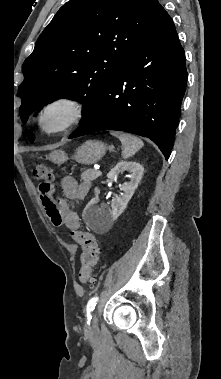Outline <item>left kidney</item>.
I'll list each match as a JSON object with an SVG mask.
<instances>
[{"mask_svg":"<svg viewBox=\"0 0 221 379\" xmlns=\"http://www.w3.org/2000/svg\"><path fill=\"white\" fill-rule=\"evenodd\" d=\"M124 171L131 173L130 181L122 186L123 193L121 197L112 200L111 209L106 206L97 207L95 200H91L86 205L82 216L91 229L103 230L109 228L127 207L142 179L144 168L137 162L121 161L107 174V177L110 180H116L117 176Z\"/></svg>","mask_w":221,"mask_h":379,"instance_id":"1","label":"left kidney"}]
</instances>
